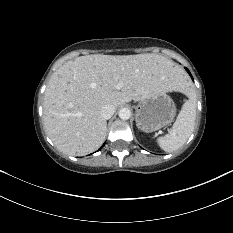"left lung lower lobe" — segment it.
<instances>
[{
  "label": "left lung lower lobe",
  "instance_id": "left-lung-lower-lobe-1",
  "mask_svg": "<svg viewBox=\"0 0 233 233\" xmlns=\"http://www.w3.org/2000/svg\"><path fill=\"white\" fill-rule=\"evenodd\" d=\"M186 70H187V72L189 73V75L191 76V78H192V75L190 74V72H189V70L187 69V68H185Z\"/></svg>",
  "mask_w": 233,
  "mask_h": 233
}]
</instances>
